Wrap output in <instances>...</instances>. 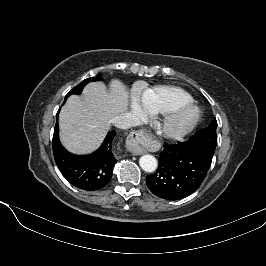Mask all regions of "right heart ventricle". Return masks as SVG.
Listing matches in <instances>:
<instances>
[{"label":"right heart ventricle","mask_w":266,"mask_h":266,"mask_svg":"<svg viewBox=\"0 0 266 266\" xmlns=\"http://www.w3.org/2000/svg\"><path fill=\"white\" fill-rule=\"evenodd\" d=\"M192 101L193 98L187 91L171 85L147 89L142 94V106L149 115H163L181 104Z\"/></svg>","instance_id":"obj_1"}]
</instances>
